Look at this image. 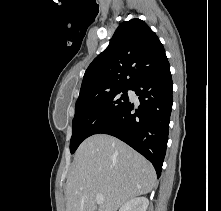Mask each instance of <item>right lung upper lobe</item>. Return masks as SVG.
Instances as JSON below:
<instances>
[{"label":"right lung upper lobe","instance_id":"cb5924a9","mask_svg":"<svg viewBox=\"0 0 221 211\" xmlns=\"http://www.w3.org/2000/svg\"><path fill=\"white\" fill-rule=\"evenodd\" d=\"M168 66L162 43L144 21L123 22L87 68L79 98L130 88L140 78Z\"/></svg>","mask_w":221,"mask_h":211}]
</instances>
